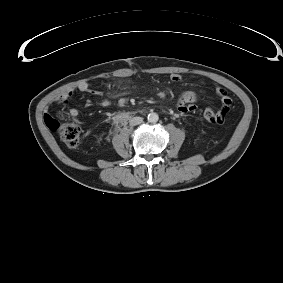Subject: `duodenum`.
<instances>
[{
	"instance_id": "1",
	"label": "duodenum",
	"mask_w": 283,
	"mask_h": 283,
	"mask_svg": "<svg viewBox=\"0 0 283 283\" xmlns=\"http://www.w3.org/2000/svg\"><path fill=\"white\" fill-rule=\"evenodd\" d=\"M133 116H134L133 113L125 112V113L118 116V120H119L120 124H124L125 122L130 120Z\"/></svg>"
}]
</instances>
